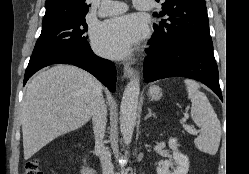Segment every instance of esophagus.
Here are the masks:
<instances>
[{
    "label": "esophagus",
    "instance_id": "esophagus-1",
    "mask_svg": "<svg viewBox=\"0 0 249 174\" xmlns=\"http://www.w3.org/2000/svg\"><path fill=\"white\" fill-rule=\"evenodd\" d=\"M132 63L133 62H125L123 64V74L126 78H132L136 73L135 69L132 67Z\"/></svg>",
    "mask_w": 249,
    "mask_h": 174
}]
</instances>
